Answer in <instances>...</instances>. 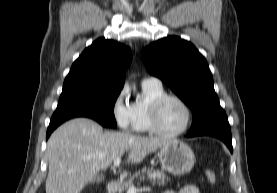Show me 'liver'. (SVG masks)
Segmentation results:
<instances>
[{"label": "liver", "instance_id": "6515ba94", "mask_svg": "<svg viewBox=\"0 0 277 193\" xmlns=\"http://www.w3.org/2000/svg\"><path fill=\"white\" fill-rule=\"evenodd\" d=\"M170 140L125 132H103L93 120H70L47 142L49 172L46 193H80L86 184L127 152V162L137 164Z\"/></svg>", "mask_w": 277, "mask_h": 193}]
</instances>
